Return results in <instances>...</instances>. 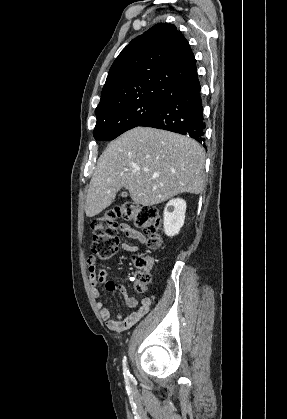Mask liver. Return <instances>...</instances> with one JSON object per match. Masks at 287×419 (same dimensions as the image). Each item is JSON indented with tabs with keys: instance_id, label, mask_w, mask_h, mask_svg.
<instances>
[{
	"instance_id": "1",
	"label": "liver",
	"mask_w": 287,
	"mask_h": 419,
	"mask_svg": "<svg viewBox=\"0 0 287 419\" xmlns=\"http://www.w3.org/2000/svg\"><path fill=\"white\" fill-rule=\"evenodd\" d=\"M205 153L195 140L136 127L110 142L97 161L85 202L87 217L111 205L125 188L134 203L152 206L181 193L204 190Z\"/></svg>"
}]
</instances>
